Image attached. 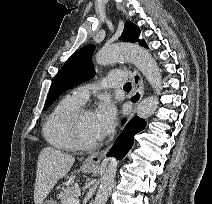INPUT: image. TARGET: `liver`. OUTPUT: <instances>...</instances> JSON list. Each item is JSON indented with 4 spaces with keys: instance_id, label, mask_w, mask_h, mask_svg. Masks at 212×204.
Listing matches in <instances>:
<instances>
[{
    "instance_id": "obj_1",
    "label": "liver",
    "mask_w": 212,
    "mask_h": 204,
    "mask_svg": "<svg viewBox=\"0 0 212 204\" xmlns=\"http://www.w3.org/2000/svg\"><path fill=\"white\" fill-rule=\"evenodd\" d=\"M74 162L73 156L52 147H45L40 151L34 186L35 204H43L58 180L67 175Z\"/></svg>"
}]
</instances>
